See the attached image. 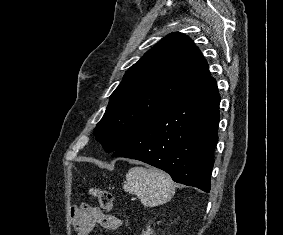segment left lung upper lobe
I'll use <instances>...</instances> for the list:
<instances>
[{"label":"left lung upper lobe","instance_id":"left-lung-upper-lobe-1","mask_svg":"<svg viewBox=\"0 0 283 235\" xmlns=\"http://www.w3.org/2000/svg\"><path fill=\"white\" fill-rule=\"evenodd\" d=\"M210 79L193 41L179 32L167 35L127 70L95 128L96 139L114 152Z\"/></svg>","mask_w":283,"mask_h":235}]
</instances>
